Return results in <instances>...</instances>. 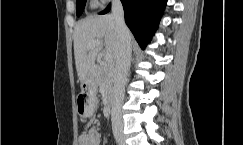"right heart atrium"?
I'll list each match as a JSON object with an SVG mask.
<instances>
[{"instance_id": "d8ad5b80", "label": "right heart atrium", "mask_w": 243, "mask_h": 145, "mask_svg": "<svg viewBox=\"0 0 243 145\" xmlns=\"http://www.w3.org/2000/svg\"><path fill=\"white\" fill-rule=\"evenodd\" d=\"M102 2H107V1H109V0H101Z\"/></svg>"}]
</instances>
